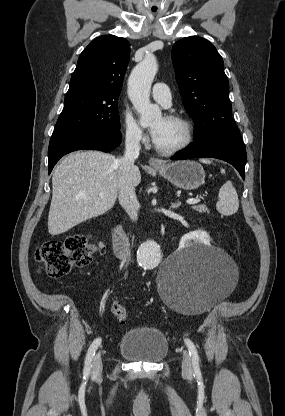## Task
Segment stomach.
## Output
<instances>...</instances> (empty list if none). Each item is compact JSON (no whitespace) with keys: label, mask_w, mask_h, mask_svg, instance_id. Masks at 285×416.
<instances>
[{"label":"stomach","mask_w":285,"mask_h":416,"mask_svg":"<svg viewBox=\"0 0 285 416\" xmlns=\"http://www.w3.org/2000/svg\"><path fill=\"white\" fill-rule=\"evenodd\" d=\"M155 170L159 172L160 176L169 180L177 188H182V190H196L204 184L205 180V172L202 166L197 162H190V160H180V162H173V164H161V166H156Z\"/></svg>","instance_id":"1"}]
</instances>
